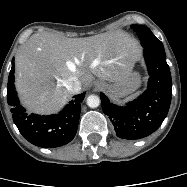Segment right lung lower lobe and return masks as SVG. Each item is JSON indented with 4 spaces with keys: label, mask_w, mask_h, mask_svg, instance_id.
<instances>
[{
    "label": "right lung lower lobe",
    "mask_w": 187,
    "mask_h": 187,
    "mask_svg": "<svg viewBox=\"0 0 187 187\" xmlns=\"http://www.w3.org/2000/svg\"><path fill=\"white\" fill-rule=\"evenodd\" d=\"M14 59L8 79L7 101L13 121L20 133L32 144L54 148L69 143L75 136L80 116V103L85 93L75 95L58 114L41 116L31 114L20 104L14 86Z\"/></svg>",
    "instance_id": "1"
}]
</instances>
